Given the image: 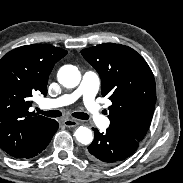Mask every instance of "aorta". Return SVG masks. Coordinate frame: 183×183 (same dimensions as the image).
Instances as JSON below:
<instances>
[{
  "label": "aorta",
  "mask_w": 183,
  "mask_h": 183,
  "mask_svg": "<svg viewBox=\"0 0 183 183\" xmlns=\"http://www.w3.org/2000/svg\"><path fill=\"white\" fill-rule=\"evenodd\" d=\"M58 82L66 88H75L79 85L81 80V74L76 66L64 65L58 71ZM76 140L81 144L88 145L93 140L92 131L87 128L80 126L74 134Z\"/></svg>",
  "instance_id": "1"
}]
</instances>
